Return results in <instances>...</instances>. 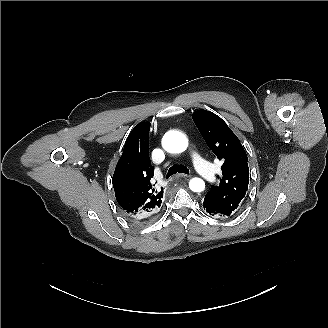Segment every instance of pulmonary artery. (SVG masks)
Masks as SVG:
<instances>
[{
    "label": "pulmonary artery",
    "instance_id": "e3ab8cb5",
    "mask_svg": "<svg viewBox=\"0 0 328 328\" xmlns=\"http://www.w3.org/2000/svg\"><path fill=\"white\" fill-rule=\"evenodd\" d=\"M187 158L191 163L195 164L194 169L197 173L201 174L204 177H209L213 174V167L209 164H205L204 162L200 161L201 156L197 151H190L187 155Z\"/></svg>",
    "mask_w": 328,
    "mask_h": 328
}]
</instances>
